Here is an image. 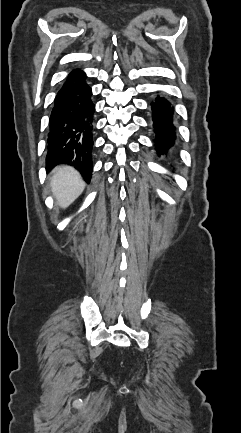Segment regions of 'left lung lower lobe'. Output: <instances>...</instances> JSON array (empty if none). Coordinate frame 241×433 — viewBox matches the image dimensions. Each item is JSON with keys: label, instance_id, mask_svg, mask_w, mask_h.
I'll use <instances>...</instances> for the list:
<instances>
[{"label": "left lung lower lobe", "instance_id": "0a47b994", "mask_svg": "<svg viewBox=\"0 0 241 433\" xmlns=\"http://www.w3.org/2000/svg\"><path fill=\"white\" fill-rule=\"evenodd\" d=\"M154 146L158 155H171L177 142V124L174 107L165 97L157 94L150 103Z\"/></svg>", "mask_w": 241, "mask_h": 433}]
</instances>
